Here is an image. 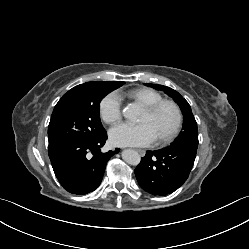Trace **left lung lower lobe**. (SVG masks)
Returning a JSON list of instances; mask_svg holds the SVG:
<instances>
[{
  "instance_id": "obj_1",
  "label": "left lung lower lobe",
  "mask_w": 249,
  "mask_h": 249,
  "mask_svg": "<svg viewBox=\"0 0 249 249\" xmlns=\"http://www.w3.org/2000/svg\"><path fill=\"white\" fill-rule=\"evenodd\" d=\"M197 149L166 147L147 151L135 169L140 187L153 195H167L177 190L188 178Z\"/></svg>"
}]
</instances>
